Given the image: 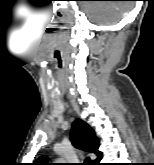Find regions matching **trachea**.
Listing matches in <instances>:
<instances>
[{
    "label": "trachea",
    "mask_w": 154,
    "mask_h": 165,
    "mask_svg": "<svg viewBox=\"0 0 154 165\" xmlns=\"http://www.w3.org/2000/svg\"><path fill=\"white\" fill-rule=\"evenodd\" d=\"M81 165H91L90 158H86V160L84 161V163H82Z\"/></svg>",
    "instance_id": "3493384b"
}]
</instances>
